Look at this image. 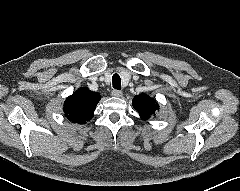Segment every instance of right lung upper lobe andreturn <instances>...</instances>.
<instances>
[{
    "instance_id": "1",
    "label": "right lung upper lobe",
    "mask_w": 240,
    "mask_h": 191,
    "mask_svg": "<svg viewBox=\"0 0 240 191\" xmlns=\"http://www.w3.org/2000/svg\"><path fill=\"white\" fill-rule=\"evenodd\" d=\"M100 99L99 93L81 88L66 99L63 107L65 116L73 123L84 124L93 117Z\"/></svg>"
}]
</instances>
